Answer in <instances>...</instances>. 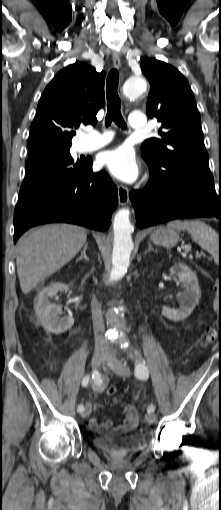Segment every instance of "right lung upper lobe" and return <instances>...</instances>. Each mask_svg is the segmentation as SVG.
Instances as JSON below:
<instances>
[{
  "label": "right lung upper lobe",
  "mask_w": 221,
  "mask_h": 510,
  "mask_svg": "<svg viewBox=\"0 0 221 510\" xmlns=\"http://www.w3.org/2000/svg\"><path fill=\"white\" fill-rule=\"evenodd\" d=\"M103 104V72L80 62L65 67L39 101L27 141L29 152L43 147H71L75 130L96 124V114Z\"/></svg>",
  "instance_id": "cb5924a9"
}]
</instances>
